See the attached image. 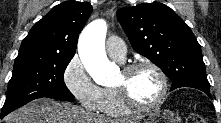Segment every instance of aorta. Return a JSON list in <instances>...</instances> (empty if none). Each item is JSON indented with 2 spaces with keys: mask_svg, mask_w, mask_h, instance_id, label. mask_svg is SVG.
<instances>
[{
  "mask_svg": "<svg viewBox=\"0 0 221 123\" xmlns=\"http://www.w3.org/2000/svg\"><path fill=\"white\" fill-rule=\"evenodd\" d=\"M106 33V21L97 19L84 28L78 42V52L82 64L99 85L110 84L116 71V67L106 56Z\"/></svg>",
  "mask_w": 221,
  "mask_h": 123,
  "instance_id": "obj_1",
  "label": "aorta"
}]
</instances>
